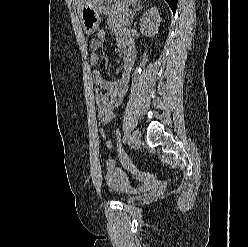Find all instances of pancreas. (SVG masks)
<instances>
[{
	"instance_id": "pancreas-1",
	"label": "pancreas",
	"mask_w": 248,
	"mask_h": 247,
	"mask_svg": "<svg viewBox=\"0 0 248 247\" xmlns=\"http://www.w3.org/2000/svg\"><path fill=\"white\" fill-rule=\"evenodd\" d=\"M130 22L131 16L128 10H115L107 18V23L113 30L128 26Z\"/></svg>"
}]
</instances>
